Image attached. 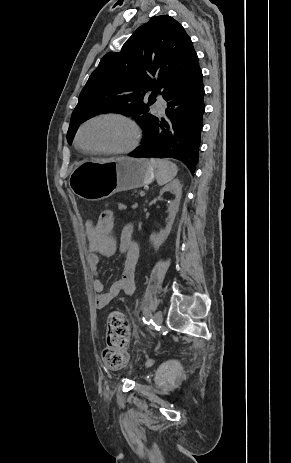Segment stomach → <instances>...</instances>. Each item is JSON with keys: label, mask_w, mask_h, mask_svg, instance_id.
I'll use <instances>...</instances> for the list:
<instances>
[{"label": "stomach", "mask_w": 291, "mask_h": 463, "mask_svg": "<svg viewBox=\"0 0 291 463\" xmlns=\"http://www.w3.org/2000/svg\"><path fill=\"white\" fill-rule=\"evenodd\" d=\"M155 168L146 159L119 157L90 159L75 164L69 186L80 198L99 201L120 192L150 184Z\"/></svg>", "instance_id": "obj_1"}]
</instances>
